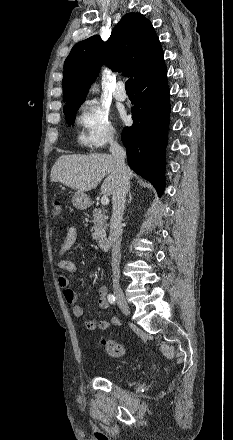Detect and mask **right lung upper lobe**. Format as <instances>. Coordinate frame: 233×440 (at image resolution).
Returning a JSON list of instances; mask_svg holds the SVG:
<instances>
[{
  "label": "right lung upper lobe",
  "instance_id": "right-lung-upper-lobe-1",
  "mask_svg": "<svg viewBox=\"0 0 233 440\" xmlns=\"http://www.w3.org/2000/svg\"><path fill=\"white\" fill-rule=\"evenodd\" d=\"M103 63L113 71L133 76L135 85L165 66L162 48L151 22L140 13H128L105 43L98 35L77 43L64 63V108L85 100Z\"/></svg>",
  "mask_w": 233,
  "mask_h": 440
}]
</instances>
